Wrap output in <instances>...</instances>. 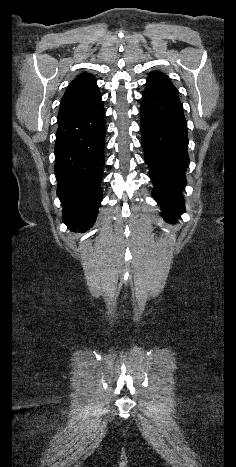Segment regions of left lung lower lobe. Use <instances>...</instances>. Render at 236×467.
<instances>
[{
    "label": "left lung lower lobe",
    "instance_id": "1",
    "mask_svg": "<svg viewBox=\"0 0 236 467\" xmlns=\"http://www.w3.org/2000/svg\"><path fill=\"white\" fill-rule=\"evenodd\" d=\"M140 114L142 146L154 185L152 195L165 220L175 222L185 212L181 191L189 161L183 107L177 93L146 88Z\"/></svg>",
    "mask_w": 236,
    "mask_h": 467
}]
</instances>
